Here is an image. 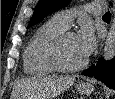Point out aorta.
<instances>
[{"mask_svg":"<svg viewBox=\"0 0 115 99\" xmlns=\"http://www.w3.org/2000/svg\"><path fill=\"white\" fill-rule=\"evenodd\" d=\"M103 57L106 61H109L115 57V15L106 38Z\"/></svg>","mask_w":115,"mask_h":99,"instance_id":"obj_1","label":"aorta"}]
</instances>
